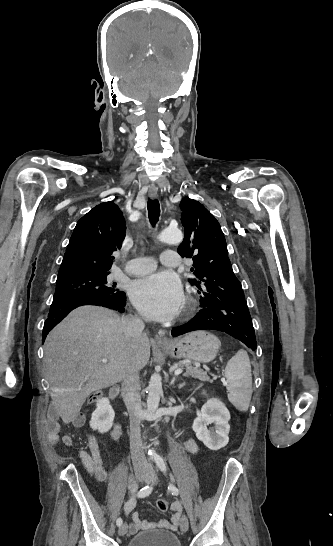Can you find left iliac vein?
Wrapping results in <instances>:
<instances>
[{"instance_id": "4c4485c4", "label": "left iliac vein", "mask_w": 333, "mask_h": 546, "mask_svg": "<svg viewBox=\"0 0 333 546\" xmlns=\"http://www.w3.org/2000/svg\"><path fill=\"white\" fill-rule=\"evenodd\" d=\"M156 482H157V477H156V475L154 473L149 474L147 476L146 483H156ZM180 528H181L182 532H187V530L189 528L188 518L184 514L180 518Z\"/></svg>"}]
</instances>
